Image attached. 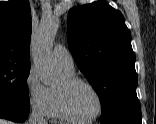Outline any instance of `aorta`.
<instances>
[{
  "label": "aorta",
  "mask_w": 156,
  "mask_h": 124,
  "mask_svg": "<svg viewBox=\"0 0 156 124\" xmlns=\"http://www.w3.org/2000/svg\"><path fill=\"white\" fill-rule=\"evenodd\" d=\"M57 29V19H43L32 43L33 63L45 85L53 83L60 75V70L55 66L52 56V43Z\"/></svg>",
  "instance_id": "obj_1"
}]
</instances>
